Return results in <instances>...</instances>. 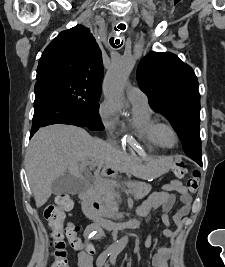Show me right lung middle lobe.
<instances>
[{"label":"right lung middle lobe","mask_w":225,"mask_h":267,"mask_svg":"<svg viewBox=\"0 0 225 267\" xmlns=\"http://www.w3.org/2000/svg\"><path fill=\"white\" fill-rule=\"evenodd\" d=\"M36 83L45 85L59 96L90 130L104 129L98 114L101 88L63 76H47L37 80Z\"/></svg>","instance_id":"right-lung-middle-lobe-1"}]
</instances>
